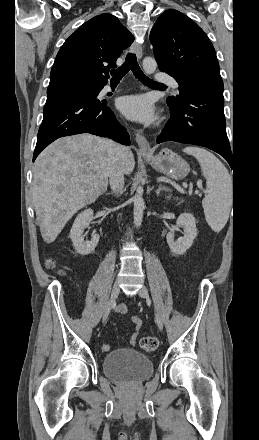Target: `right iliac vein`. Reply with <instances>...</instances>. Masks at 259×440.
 Segmentation results:
<instances>
[{
  "instance_id": "right-iliac-vein-1",
  "label": "right iliac vein",
  "mask_w": 259,
  "mask_h": 440,
  "mask_svg": "<svg viewBox=\"0 0 259 440\" xmlns=\"http://www.w3.org/2000/svg\"><path fill=\"white\" fill-rule=\"evenodd\" d=\"M119 293H120L119 281H116L111 292L110 300L103 314V322H105L108 319V316L116 303Z\"/></svg>"
}]
</instances>
